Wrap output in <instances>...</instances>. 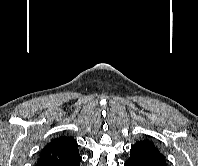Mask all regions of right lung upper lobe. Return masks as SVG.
<instances>
[{"mask_svg":"<svg viewBox=\"0 0 198 166\" xmlns=\"http://www.w3.org/2000/svg\"><path fill=\"white\" fill-rule=\"evenodd\" d=\"M80 157L73 137L60 136L50 141L41 151L38 164H58Z\"/></svg>","mask_w":198,"mask_h":166,"instance_id":"obj_1","label":"right lung upper lobe"}]
</instances>
